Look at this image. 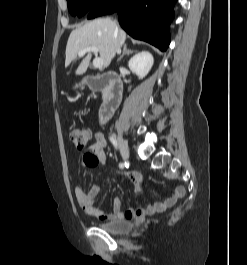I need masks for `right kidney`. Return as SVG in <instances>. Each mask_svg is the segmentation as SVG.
I'll use <instances>...</instances> for the list:
<instances>
[{
	"mask_svg": "<svg viewBox=\"0 0 247 265\" xmlns=\"http://www.w3.org/2000/svg\"><path fill=\"white\" fill-rule=\"evenodd\" d=\"M153 63L152 54L148 51H141L129 60L128 66L139 78H144L151 70Z\"/></svg>",
	"mask_w": 247,
	"mask_h": 265,
	"instance_id": "ca27d5eb",
	"label": "right kidney"
}]
</instances>
